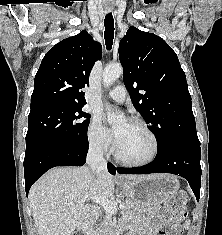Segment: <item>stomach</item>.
Wrapping results in <instances>:
<instances>
[{"label":"stomach","mask_w":222,"mask_h":235,"mask_svg":"<svg viewBox=\"0 0 222 235\" xmlns=\"http://www.w3.org/2000/svg\"><path fill=\"white\" fill-rule=\"evenodd\" d=\"M126 199L136 207L150 208L177 193L180 184L171 175H155L121 183Z\"/></svg>","instance_id":"obj_1"}]
</instances>
